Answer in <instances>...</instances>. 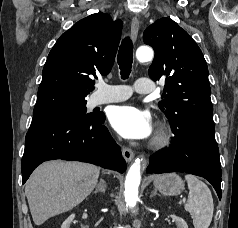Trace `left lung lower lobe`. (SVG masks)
<instances>
[{"label":"left lung lower lobe","instance_id":"0a47b994","mask_svg":"<svg viewBox=\"0 0 238 228\" xmlns=\"http://www.w3.org/2000/svg\"><path fill=\"white\" fill-rule=\"evenodd\" d=\"M169 148L150 157L148 173L186 172L207 179L221 199V164L213 129L172 127Z\"/></svg>","mask_w":238,"mask_h":228}]
</instances>
